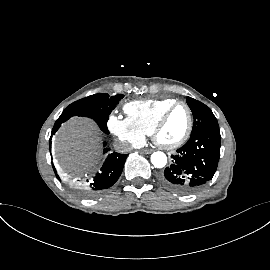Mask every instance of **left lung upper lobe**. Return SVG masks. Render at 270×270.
Masks as SVG:
<instances>
[{
	"mask_svg": "<svg viewBox=\"0 0 270 270\" xmlns=\"http://www.w3.org/2000/svg\"><path fill=\"white\" fill-rule=\"evenodd\" d=\"M186 101L194 117L191 135L204 128H219L217 119L209 107L191 97H187Z\"/></svg>",
	"mask_w": 270,
	"mask_h": 270,
	"instance_id": "left-lung-upper-lobe-1",
	"label": "left lung upper lobe"
}]
</instances>
